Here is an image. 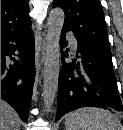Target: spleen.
Listing matches in <instances>:
<instances>
[{"label":"spleen","instance_id":"3e777b00","mask_svg":"<svg viewBox=\"0 0 123 130\" xmlns=\"http://www.w3.org/2000/svg\"><path fill=\"white\" fill-rule=\"evenodd\" d=\"M66 130H119L118 119L108 110L86 107L65 116Z\"/></svg>","mask_w":123,"mask_h":130}]
</instances>
